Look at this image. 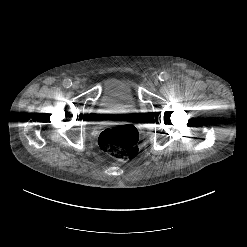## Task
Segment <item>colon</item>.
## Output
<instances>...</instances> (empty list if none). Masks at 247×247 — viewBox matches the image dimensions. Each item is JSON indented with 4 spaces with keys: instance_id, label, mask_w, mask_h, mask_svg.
<instances>
[{
    "instance_id": "obj_1",
    "label": "colon",
    "mask_w": 247,
    "mask_h": 247,
    "mask_svg": "<svg viewBox=\"0 0 247 247\" xmlns=\"http://www.w3.org/2000/svg\"><path fill=\"white\" fill-rule=\"evenodd\" d=\"M98 143L104 152L120 161L134 157L139 150L138 132L130 125L103 130Z\"/></svg>"
}]
</instances>
